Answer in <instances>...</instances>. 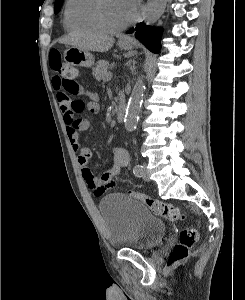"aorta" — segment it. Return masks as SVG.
<instances>
[{
    "label": "aorta",
    "instance_id": "obj_1",
    "mask_svg": "<svg viewBox=\"0 0 245 300\" xmlns=\"http://www.w3.org/2000/svg\"><path fill=\"white\" fill-rule=\"evenodd\" d=\"M167 2L168 0H148L143 9L145 23L150 25L158 21L165 11ZM144 90L143 80L139 77L133 87L126 109L125 127L129 131L136 128Z\"/></svg>",
    "mask_w": 245,
    "mask_h": 300
}]
</instances>
